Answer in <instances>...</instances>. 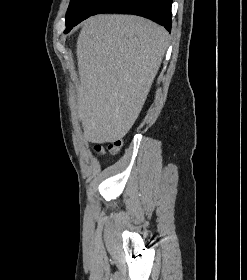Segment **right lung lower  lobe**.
I'll list each match as a JSON object with an SVG mask.
<instances>
[{
	"label": "right lung lower lobe",
	"mask_w": 247,
	"mask_h": 280,
	"mask_svg": "<svg viewBox=\"0 0 247 280\" xmlns=\"http://www.w3.org/2000/svg\"><path fill=\"white\" fill-rule=\"evenodd\" d=\"M171 5L172 0H106L93 15L100 13L139 15L159 23L170 32ZM73 27L66 28L65 33H68Z\"/></svg>",
	"instance_id": "98d812e1"
}]
</instances>
